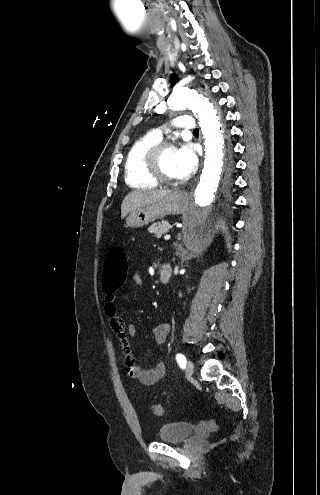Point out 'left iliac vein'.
I'll return each instance as SVG.
<instances>
[{
  "instance_id": "4c4485c4",
  "label": "left iliac vein",
  "mask_w": 320,
  "mask_h": 495,
  "mask_svg": "<svg viewBox=\"0 0 320 495\" xmlns=\"http://www.w3.org/2000/svg\"><path fill=\"white\" fill-rule=\"evenodd\" d=\"M193 372H194V365L191 361H188L185 367V373L187 376H191Z\"/></svg>"
}]
</instances>
